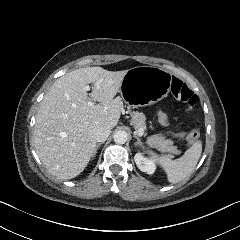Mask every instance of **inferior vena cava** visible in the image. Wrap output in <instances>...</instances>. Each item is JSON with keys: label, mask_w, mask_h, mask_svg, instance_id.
<instances>
[{"label": "inferior vena cava", "mask_w": 240, "mask_h": 240, "mask_svg": "<svg viewBox=\"0 0 240 240\" xmlns=\"http://www.w3.org/2000/svg\"><path fill=\"white\" fill-rule=\"evenodd\" d=\"M111 130L106 127H100L94 134L95 142H105L109 137Z\"/></svg>", "instance_id": "inferior-vena-cava-1"}]
</instances>
